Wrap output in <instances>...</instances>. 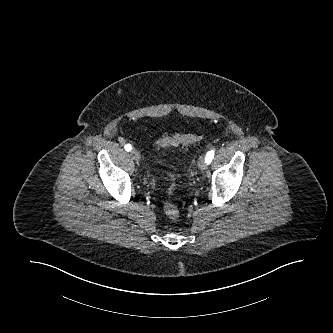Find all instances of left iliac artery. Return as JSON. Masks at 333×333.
<instances>
[{
	"label": "left iliac artery",
	"instance_id": "left-iliac-artery-1",
	"mask_svg": "<svg viewBox=\"0 0 333 333\" xmlns=\"http://www.w3.org/2000/svg\"><path fill=\"white\" fill-rule=\"evenodd\" d=\"M214 154H215V150L214 149H211L210 151L207 152V154L205 156V162L207 164L211 163V161L213 160Z\"/></svg>",
	"mask_w": 333,
	"mask_h": 333
}]
</instances>
